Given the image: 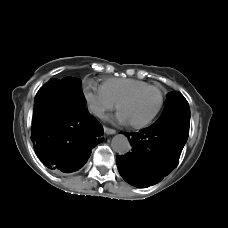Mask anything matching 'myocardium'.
<instances>
[{"label":"myocardium","instance_id":"1","mask_svg":"<svg viewBox=\"0 0 228 228\" xmlns=\"http://www.w3.org/2000/svg\"><path fill=\"white\" fill-rule=\"evenodd\" d=\"M156 91L158 94H159V102H158V105L156 107V109L154 110V112L147 118L145 119L144 121H141V122H128L130 124V126L134 127V128H142V127H145L147 126L149 123L152 122V120L157 116V114L159 113L161 107H162V104H163V93L161 92V90L155 86H150V87H147V88H144V89H141V90H137L127 96H125L118 104H117V108L118 110L121 112V108L122 106L129 100L133 99L134 97L142 94V93H145L147 91Z\"/></svg>","mask_w":228,"mask_h":228}]
</instances>
